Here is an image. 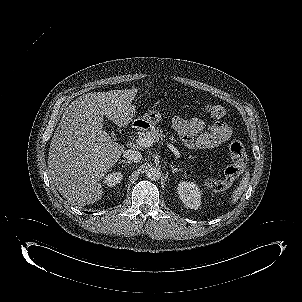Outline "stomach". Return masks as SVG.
<instances>
[{"label":"stomach","instance_id":"1","mask_svg":"<svg viewBox=\"0 0 302 302\" xmlns=\"http://www.w3.org/2000/svg\"><path fill=\"white\" fill-rule=\"evenodd\" d=\"M162 118L159 111L151 109L147 111L142 118L136 120V124L144 129L153 128Z\"/></svg>","mask_w":302,"mask_h":302}]
</instances>
